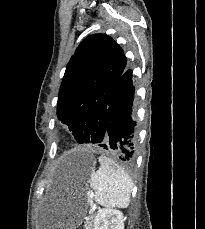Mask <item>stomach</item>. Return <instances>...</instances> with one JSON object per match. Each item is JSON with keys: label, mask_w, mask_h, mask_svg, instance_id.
<instances>
[{"label": "stomach", "mask_w": 205, "mask_h": 229, "mask_svg": "<svg viewBox=\"0 0 205 229\" xmlns=\"http://www.w3.org/2000/svg\"><path fill=\"white\" fill-rule=\"evenodd\" d=\"M81 175L88 178L95 166L90 154H81ZM86 198L80 205L70 203L68 199H48L41 203L37 211V229H76L83 220Z\"/></svg>", "instance_id": "0dacf381"}]
</instances>
